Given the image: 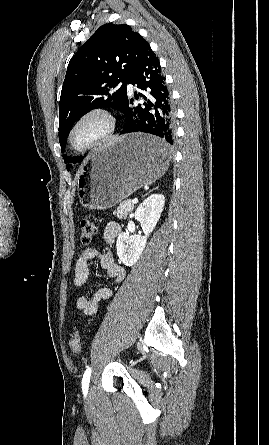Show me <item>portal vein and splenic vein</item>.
Masks as SVG:
<instances>
[{
	"mask_svg": "<svg viewBox=\"0 0 269 445\" xmlns=\"http://www.w3.org/2000/svg\"><path fill=\"white\" fill-rule=\"evenodd\" d=\"M131 202H132L133 204H136V203L138 202V200H137V199H133Z\"/></svg>",
	"mask_w": 269,
	"mask_h": 445,
	"instance_id": "18ae733b",
	"label": "portal vein and splenic vein"
}]
</instances>
